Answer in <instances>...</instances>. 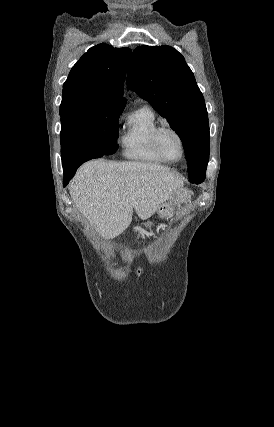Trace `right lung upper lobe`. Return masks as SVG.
I'll use <instances>...</instances> for the list:
<instances>
[{"label": "right lung upper lobe", "mask_w": 274, "mask_h": 427, "mask_svg": "<svg viewBox=\"0 0 274 427\" xmlns=\"http://www.w3.org/2000/svg\"><path fill=\"white\" fill-rule=\"evenodd\" d=\"M131 50L102 43L90 48L71 69L63 85L60 108L88 102L125 104L123 86Z\"/></svg>", "instance_id": "1"}]
</instances>
